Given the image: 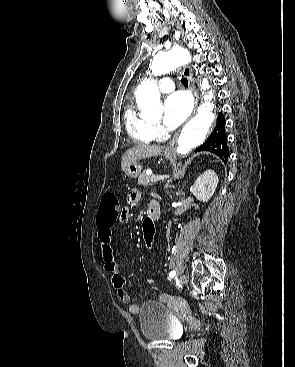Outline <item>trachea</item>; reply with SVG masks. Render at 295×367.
<instances>
[{
    "instance_id": "1",
    "label": "trachea",
    "mask_w": 295,
    "mask_h": 367,
    "mask_svg": "<svg viewBox=\"0 0 295 367\" xmlns=\"http://www.w3.org/2000/svg\"><path fill=\"white\" fill-rule=\"evenodd\" d=\"M181 83H182L184 86H188V80H187V78H182V79H181Z\"/></svg>"
}]
</instances>
